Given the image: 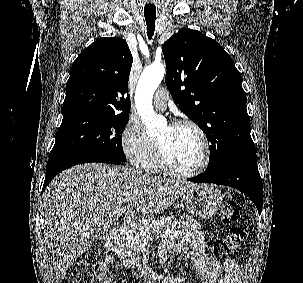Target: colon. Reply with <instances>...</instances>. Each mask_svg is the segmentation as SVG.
<instances>
[{
	"instance_id": "colon-1",
	"label": "colon",
	"mask_w": 303,
	"mask_h": 283,
	"mask_svg": "<svg viewBox=\"0 0 303 283\" xmlns=\"http://www.w3.org/2000/svg\"><path fill=\"white\" fill-rule=\"evenodd\" d=\"M240 218V210L234 200L224 203L220 212L223 224L231 225L229 233L209 242L210 248L221 256H236L244 243V231L235 223ZM99 258L95 252H90L74 263L68 270L63 283H94L98 269Z\"/></svg>"
}]
</instances>
